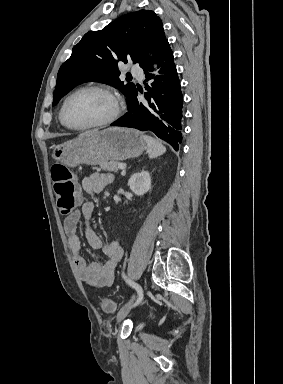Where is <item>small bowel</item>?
Returning a JSON list of instances; mask_svg holds the SVG:
<instances>
[{"instance_id": "obj_1", "label": "small bowel", "mask_w": 283, "mask_h": 384, "mask_svg": "<svg viewBox=\"0 0 283 384\" xmlns=\"http://www.w3.org/2000/svg\"><path fill=\"white\" fill-rule=\"evenodd\" d=\"M113 180L109 173H93L82 179V189L88 194L101 192ZM94 213V204L86 201L81 207L70 213L63 222L64 231L68 238V245L72 253L73 261L80 279L91 288L110 287L115 279V270L123 257V249L119 240L103 243L101 238L93 231L89 221ZM85 220V237L88 244L105 255L102 262H90L84 258L81 252L82 243L77 233L80 219Z\"/></svg>"}]
</instances>
